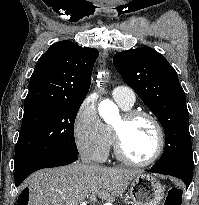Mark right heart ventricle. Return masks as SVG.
Instances as JSON below:
<instances>
[{"label":"right heart ventricle","instance_id":"obj_1","mask_svg":"<svg viewBox=\"0 0 199 205\" xmlns=\"http://www.w3.org/2000/svg\"><path fill=\"white\" fill-rule=\"evenodd\" d=\"M119 105H120V107L122 108V109H124L125 111H127V110H131L132 109V107H133V105H127V104H124V103H121V102H117ZM108 130H109V128H108ZM109 132H110V130H109ZM110 135H111V133H110Z\"/></svg>","mask_w":199,"mask_h":205}]
</instances>
